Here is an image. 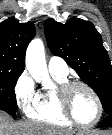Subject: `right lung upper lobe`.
I'll return each mask as SVG.
<instances>
[{
    "label": "right lung upper lobe",
    "instance_id": "1",
    "mask_svg": "<svg viewBox=\"0 0 112 135\" xmlns=\"http://www.w3.org/2000/svg\"><path fill=\"white\" fill-rule=\"evenodd\" d=\"M32 22L19 23L8 18L0 23V73H22L26 48L35 36Z\"/></svg>",
    "mask_w": 112,
    "mask_h": 135
}]
</instances>
